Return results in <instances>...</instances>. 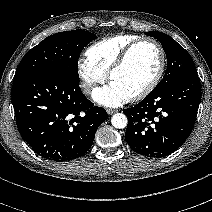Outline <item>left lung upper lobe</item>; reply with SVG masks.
I'll return each mask as SVG.
<instances>
[{"label": "left lung upper lobe", "mask_w": 212, "mask_h": 212, "mask_svg": "<svg viewBox=\"0 0 212 212\" xmlns=\"http://www.w3.org/2000/svg\"><path fill=\"white\" fill-rule=\"evenodd\" d=\"M145 34L156 38L161 43L167 57L166 73L154 89H162L182 77L196 73L191 56L173 38L157 31H150Z\"/></svg>", "instance_id": "1"}]
</instances>
